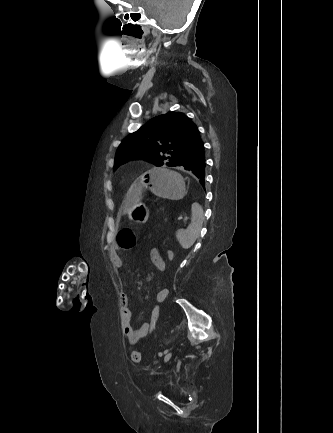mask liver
<instances>
[{
    "instance_id": "liver-1",
    "label": "liver",
    "mask_w": 333,
    "mask_h": 433,
    "mask_svg": "<svg viewBox=\"0 0 333 433\" xmlns=\"http://www.w3.org/2000/svg\"><path fill=\"white\" fill-rule=\"evenodd\" d=\"M138 188L142 192H133V194H132L133 201H124L123 202L122 207L124 210H126V212H131V210L135 209L136 204L134 201H146L147 194H146V192H143L147 188L146 185L142 183L139 185Z\"/></svg>"
}]
</instances>
